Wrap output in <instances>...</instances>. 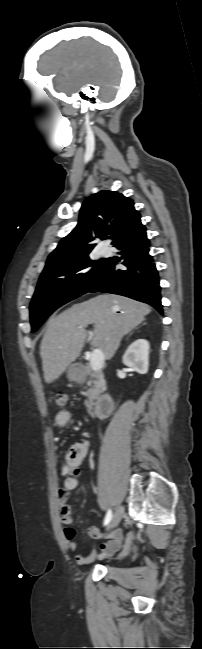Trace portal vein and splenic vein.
<instances>
[{
    "instance_id": "obj_1",
    "label": "portal vein and splenic vein",
    "mask_w": 202,
    "mask_h": 649,
    "mask_svg": "<svg viewBox=\"0 0 202 649\" xmlns=\"http://www.w3.org/2000/svg\"><path fill=\"white\" fill-rule=\"evenodd\" d=\"M104 354L101 349H95L91 354L90 366L93 371H99L104 364Z\"/></svg>"
}]
</instances>
